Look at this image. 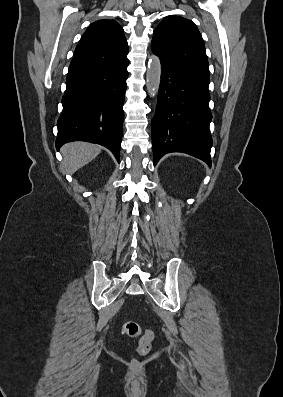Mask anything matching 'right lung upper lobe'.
I'll return each instance as SVG.
<instances>
[{"label":"right lung upper lobe","instance_id":"obj_1","mask_svg":"<svg viewBox=\"0 0 283 397\" xmlns=\"http://www.w3.org/2000/svg\"><path fill=\"white\" fill-rule=\"evenodd\" d=\"M128 44L122 27L114 20H99L89 25L79 41L68 75L106 67L127 59Z\"/></svg>","mask_w":283,"mask_h":397}]
</instances>
